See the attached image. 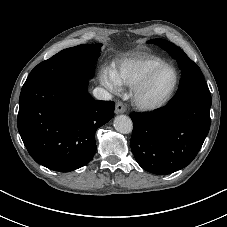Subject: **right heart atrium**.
<instances>
[{"instance_id":"right-heart-atrium-1","label":"right heart atrium","mask_w":227,"mask_h":227,"mask_svg":"<svg viewBox=\"0 0 227 227\" xmlns=\"http://www.w3.org/2000/svg\"><path fill=\"white\" fill-rule=\"evenodd\" d=\"M100 81L110 92L118 93L120 85L116 82L113 73L109 70H103L100 75Z\"/></svg>"}]
</instances>
